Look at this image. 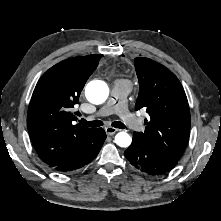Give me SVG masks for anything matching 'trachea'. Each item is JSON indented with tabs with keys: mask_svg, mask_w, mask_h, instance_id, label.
<instances>
[{
	"mask_svg": "<svg viewBox=\"0 0 221 221\" xmlns=\"http://www.w3.org/2000/svg\"><path fill=\"white\" fill-rule=\"evenodd\" d=\"M80 123L87 126V127H100V126L103 125V122L100 121V120H94V121L88 122L84 119H81ZM112 126L115 127V128H119V129H124L125 128V125L120 121L113 122Z\"/></svg>",
	"mask_w": 221,
	"mask_h": 221,
	"instance_id": "obj_1",
	"label": "trachea"
}]
</instances>
